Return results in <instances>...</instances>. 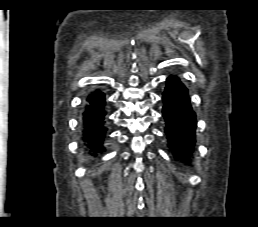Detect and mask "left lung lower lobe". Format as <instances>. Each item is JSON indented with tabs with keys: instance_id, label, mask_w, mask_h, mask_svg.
Returning a JSON list of instances; mask_svg holds the SVG:
<instances>
[{
	"instance_id": "obj_1",
	"label": "left lung lower lobe",
	"mask_w": 258,
	"mask_h": 227,
	"mask_svg": "<svg viewBox=\"0 0 258 227\" xmlns=\"http://www.w3.org/2000/svg\"><path fill=\"white\" fill-rule=\"evenodd\" d=\"M165 135L174 158L189 160L195 148L196 115L187 88L176 76H169L162 94Z\"/></svg>"
}]
</instances>
